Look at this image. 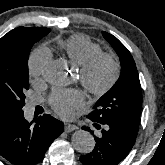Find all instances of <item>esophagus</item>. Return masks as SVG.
I'll use <instances>...</instances> for the list:
<instances>
[{
    "instance_id": "obj_1",
    "label": "esophagus",
    "mask_w": 165,
    "mask_h": 165,
    "mask_svg": "<svg viewBox=\"0 0 165 165\" xmlns=\"http://www.w3.org/2000/svg\"><path fill=\"white\" fill-rule=\"evenodd\" d=\"M76 129H77V126H76V125L70 124V123H65L64 130H65L66 132H72V131H74V130H76Z\"/></svg>"
}]
</instances>
